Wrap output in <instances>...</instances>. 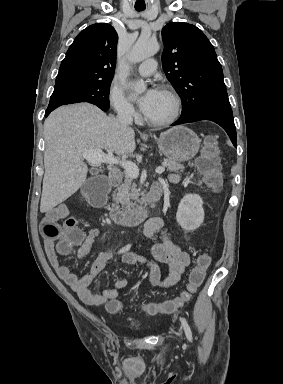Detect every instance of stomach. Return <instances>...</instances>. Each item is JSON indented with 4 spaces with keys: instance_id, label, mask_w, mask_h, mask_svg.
<instances>
[{
    "instance_id": "1",
    "label": "stomach",
    "mask_w": 283,
    "mask_h": 384,
    "mask_svg": "<svg viewBox=\"0 0 283 384\" xmlns=\"http://www.w3.org/2000/svg\"><path fill=\"white\" fill-rule=\"evenodd\" d=\"M158 148L170 162H187L196 156L200 140L192 130L185 126H175L157 140Z\"/></svg>"
}]
</instances>
